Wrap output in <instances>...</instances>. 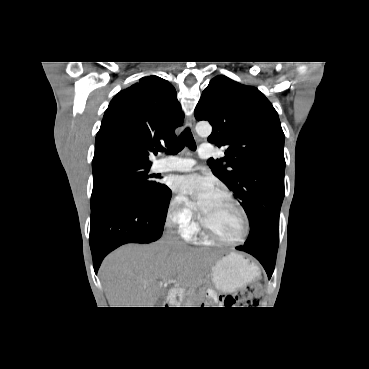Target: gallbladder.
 I'll return each instance as SVG.
<instances>
[{"label":"gallbladder","mask_w":369,"mask_h":369,"mask_svg":"<svg viewBox=\"0 0 369 369\" xmlns=\"http://www.w3.org/2000/svg\"><path fill=\"white\" fill-rule=\"evenodd\" d=\"M163 302V297H159L158 298V304L162 303Z\"/></svg>","instance_id":"obj_1"}]
</instances>
